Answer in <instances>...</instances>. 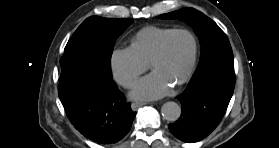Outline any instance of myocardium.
<instances>
[{"label": "myocardium", "instance_id": "f54148a6", "mask_svg": "<svg viewBox=\"0 0 279 148\" xmlns=\"http://www.w3.org/2000/svg\"><path fill=\"white\" fill-rule=\"evenodd\" d=\"M179 33H185L188 34L192 41H193V56H192V60L191 63L186 71V73L178 80L176 81V85H181L183 83H185L190 76L193 74L195 67H196V63H197V58H198V49H199V44H198V40L197 37L195 36V34L188 30V29H174L171 32H169L161 41L158 49L156 50L155 54L153 55L152 59L149 62V67H151V65L157 61H159L164 55H165V50H166V45L168 40L173 37L176 34Z\"/></svg>", "mask_w": 279, "mask_h": 148}]
</instances>
